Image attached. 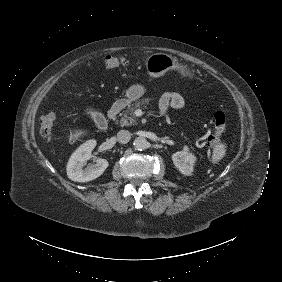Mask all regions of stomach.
Segmentation results:
<instances>
[{
	"instance_id": "0dacf381",
	"label": "stomach",
	"mask_w": 282,
	"mask_h": 282,
	"mask_svg": "<svg viewBox=\"0 0 282 282\" xmlns=\"http://www.w3.org/2000/svg\"><path fill=\"white\" fill-rule=\"evenodd\" d=\"M145 66L148 75L153 78L163 76L169 70H178L182 76H193L192 71L187 66L180 65L175 57L164 53H154L148 56ZM145 92L146 88L143 85H132L127 89L126 97L132 102L142 97Z\"/></svg>"
}]
</instances>
